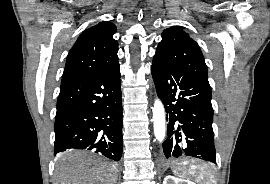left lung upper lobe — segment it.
Instances as JSON below:
<instances>
[{
    "label": "left lung upper lobe",
    "mask_w": 270,
    "mask_h": 184,
    "mask_svg": "<svg viewBox=\"0 0 270 184\" xmlns=\"http://www.w3.org/2000/svg\"><path fill=\"white\" fill-rule=\"evenodd\" d=\"M155 56L182 66L210 87L203 54L198 44L181 27L173 26L162 32V41Z\"/></svg>",
    "instance_id": "1"
}]
</instances>
